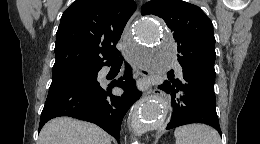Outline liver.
I'll list each match as a JSON object with an SVG mask.
<instances>
[{"label": "liver", "instance_id": "1", "mask_svg": "<svg viewBox=\"0 0 260 144\" xmlns=\"http://www.w3.org/2000/svg\"><path fill=\"white\" fill-rule=\"evenodd\" d=\"M38 144H111V137L92 123L57 117L44 125Z\"/></svg>", "mask_w": 260, "mask_h": 144}]
</instances>
